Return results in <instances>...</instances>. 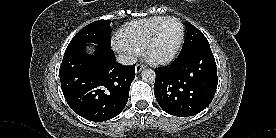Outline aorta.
<instances>
[{"label":"aorta","instance_id":"obj_1","mask_svg":"<svg viewBox=\"0 0 276 138\" xmlns=\"http://www.w3.org/2000/svg\"><path fill=\"white\" fill-rule=\"evenodd\" d=\"M141 77L146 82H153L155 80V72L152 69H144Z\"/></svg>","mask_w":276,"mask_h":138}]
</instances>
